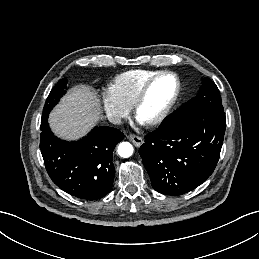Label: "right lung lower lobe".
I'll use <instances>...</instances> for the list:
<instances>
[{"mask_svg": "<svg viewBox=\"0 0 259 259\" xmlns=\"http://www.w3.org/2000/svg\"><path fill=\"white\" fill-rule=\"evenodd\" d=\"M40 149L51 180L70 195L98 200L112 188L115 168L113 149L124 138L120 130L96 127L83 139L65 142L41 124Z\"/></svg>", "mask_w": 259, "mask_h": 259, "instance_id": "1", "label": "right lung lower lobe"}]
</instances>
